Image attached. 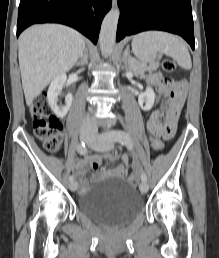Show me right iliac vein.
<instances>
[{"mask_svg": "<svg viewBox=\"0 0 219 258\" xmlns=\"http://www.w3.org/2000/svg\"><path fill=\"white\" fill-rule=\"evenodd\" d=\"M80 138H81V140L87 142L88 140H90L91 134L88 133V132H84V131H83V132H81ZM69 189H70L71 191H76V189H77V183H76L75 181H71V182L69 183Z\"/></svg>", "mask_w": 219, "mask_h": 258, "instance_id": "obj_1", "label": "right iliac vein"}]
</instances>
